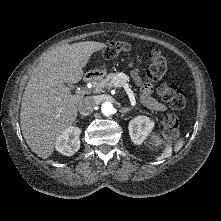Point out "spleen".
<instances>
[{
    "label": "spleen",
    "instance_id": "obj_1",
    "mask_svg": "<svg viewBox=\"0 0 221 221\" xmlns=\"http://www.w3.org/2000/svg\"><path fill=\"white\" fill-rule=\"evenodd\" d=\"M150 143L153 146L157 147L162 144V140L160 139V137L156 133H153L151 136ZM183 144H184V141L182 139L179 140L175 146V151H179L182 148ZM171 155H172V147L169 145H166L163 153L160 156H158L156 159L157 160L165 159V158L170 157Z\"/></svg>",
    "mask_w": 221,
    "mask_h": 221
}]
</instances>
